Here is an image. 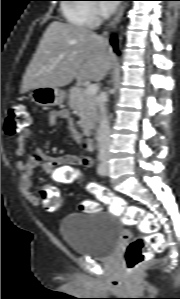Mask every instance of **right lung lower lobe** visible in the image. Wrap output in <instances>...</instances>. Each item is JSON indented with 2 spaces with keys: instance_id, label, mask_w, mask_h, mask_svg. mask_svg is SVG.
Listing matches in <instances>:
<instances>
[{
  "instance_id": "obj_1",
  "label": "right lung lower lobe",
  "mask_w": 180,
  "mask_h": 299,
  "mask_svg": "<svg viewBox=\"0 0 180 299\" xmlns=\"http://www.w3.org/2000/svg\"><path fill=\"white\" fill-rule=\"evenodd\" d=\"M110 42H111V45L113 46L114 51H115V52H118V46H117V39H116V37H113V38L110 40Z\"/></svg>"
}]
</instances>
